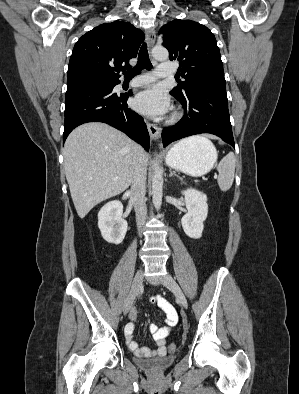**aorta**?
I'll list each match as a JSON object with an SVG mask.
<instances>
[{"label":"aorta","mask_w":299,"mask_h":394,"mask_svg":"<svg viewBox=\"0 0 299 394\" xmlns=\"http://www.w3.org/2000/svg\"><path fill=\"white\" fill-rule=\"evenodd\" d=\"M168 55H169L168 51L164 47H154L152 49V56L156 60L159 61L167 60ZM153 170L154 173L152 179V200L155 208L159 210L162 204V196H163V176H162L161 168L157 163V161L154 162Z\"/></svg>","instance_id":"aorta-1"}]
</instances>
